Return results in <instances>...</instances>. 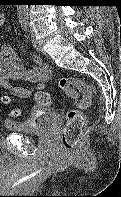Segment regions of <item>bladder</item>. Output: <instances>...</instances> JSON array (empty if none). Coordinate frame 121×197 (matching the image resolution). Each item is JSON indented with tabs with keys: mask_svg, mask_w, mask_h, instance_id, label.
<instances>
[{
	"mask_svg": "<svg viewBox=\"0 0 121 197\" xmlns=\"http://www.w3.org/2000/svg\"><path fill=\"white\" fill-rule=\"evenodd\" d=\"M56 118L54 110L49 108H40L32 116L7 125V129L11 132L21 134H40L53 126Z\"/></svg>",
	"mask_w": 121,
	"mask_h": 197,
	"instance_id": "1",
	"label": "bladder"
}]
</instances>
